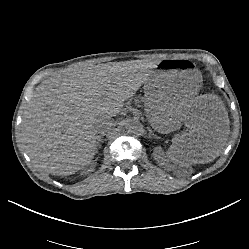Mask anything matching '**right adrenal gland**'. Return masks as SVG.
<instances>
[{
    "label": "right adrenal gland",
    "instance_id": "right-adrenal-gland-1",
    "mask_svg": "<svg viewBox=\"0 0 249 249\" xmlns=\"http://www.w3.org/2000/svg\"><path fill=\"white\" fill-rule=\"evenodd\" d=\"M105 135V132H99V136H98V148L101 147V139L102 137Z\"/></svg>",
    "mask_w": 249,
    "mask_h": 249
}]
</instances>
